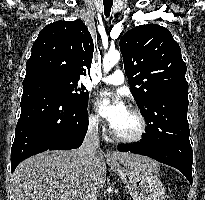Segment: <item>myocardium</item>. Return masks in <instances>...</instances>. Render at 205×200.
Returning a JSON list of instances; mask_svg holds the SVG:
<instances>
[{
  "label": "myocardium",
  "instance_id": "f54148a6",
  "mask_svg": "<svg viewBox=\"0 0 205 200\" xmlns=\"http://www.w3.org/2000/svg\"><path fill=\"white\" fill-rule=\"evenodd\" d=\"M128 110H130L138 119L139 128L137 132L133 135H122L114 131V129H112L111 132L113 137L118 141L125 142V143H136L141 141L146 134L147 120L139 108L135 106H129Z\"/></svg>",
  "mask_w": 205,
  "mask_h": 200
}]
</instances>
